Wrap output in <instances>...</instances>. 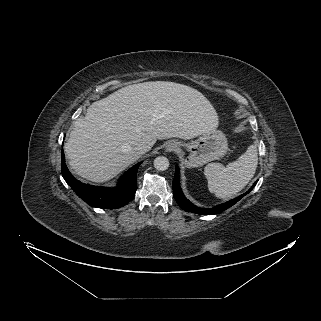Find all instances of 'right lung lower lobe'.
Instances as JSON below:
<instances>
[{
  "mask_svg": "<svg viewBox=\"0 0 321 321\" xmlns=\"http://www.w3.org/2000/svg\"><path fill=\"white\" fill-rule=\"evenodd\" d=\"M140 164L138 163L130 168L122 176L120 184L115 188L92 186L84 184L73 177L65 164V156L62 149L61 171L63 178L72 190L92 207L115 209L130 202L137 190L136 175Z\"/></svg>",
  "mask_w": 321,
  "mask_h": 321,
  "instance_id": "obj_1",
  "label": "right lung lower lobe"
}]
</instances>
